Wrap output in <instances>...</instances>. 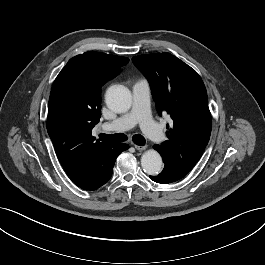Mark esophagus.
<instances>
[{
	"label": "esophagus",
	"instance_id": "obj_1",
	"mask_svg": "<svg viewBox=\"0 0 265 265\" xmlns=\"http://www.w3.org/2000/svg\"><path fill=\"white\" fill-rule=\"evenodd\" d=\"M135 149L138 150V151H144L147 149V145H134Z\"/></svg>",
	"mask_w": 265,
	"mask_h": 265
}]
</instances>
